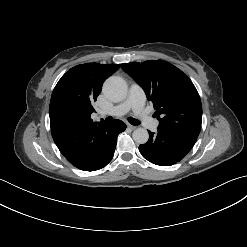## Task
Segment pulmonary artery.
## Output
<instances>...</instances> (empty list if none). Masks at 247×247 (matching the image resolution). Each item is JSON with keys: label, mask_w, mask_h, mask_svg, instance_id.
I'll use <instances>...</instances> for the list:
<instances>
[{"label": "pulmonary artery", "mask_w": 247, "mask_h": 247, "mask_svg": "<svg viewBox=\"0 0 247 247\" xmlns=\"http://www.w3.org/2000/svg\"><path fill=\"white\" fill-rule=\"evenodd\" d=\"M144 103L145 94L143 89L137 84H132L126 100L114 106L109 111L102 112L101 115H111L114 117H120L132 110L134 115L146 128L150 130H156L159 125V121L147 114V112L144 109Z\"/></svg>", "instance_id": "obj_1"}]
</instances>
